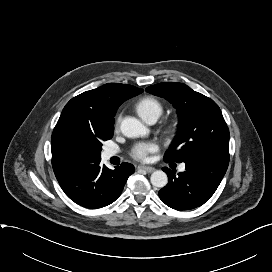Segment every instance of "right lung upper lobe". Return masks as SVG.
Instances as JSON below:
<instances>
[{
    "instance_id": "1",
    "label": "right lung upper lobe",
    "mask_w": 272,
    "mask_h": 272,
    "mask_svg": "<svg viewBox=\"0 0 272 272\" xmlns=\"http://www.w3.org/2000/svg\"><path fill=\"white\" fill-rule=\"evenodd\" d=\"M143 89L120 83H108L83 92L64 107L51 137L52 167L57 180L93 161L70 144V138L84 132L113 128L118 107Z\"/></svg>"
}]
</instances>
